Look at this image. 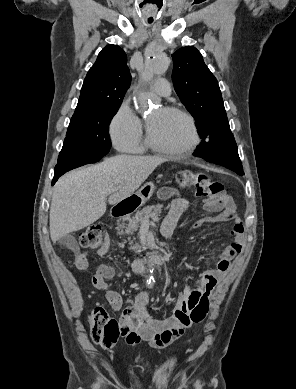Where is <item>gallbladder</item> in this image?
I'll return each mask as SVG.
<instances>
[{"label": "gallbladder", "instance_id": "gallbladder-1", "mask_svg": "<svg viewBox=\"0 0 296 389\" xmlns=\"http://www.w3.org/2000/svg\"><path fill=\"white\" fill-rule=\"evenodd\" d=\"M59 245L73 250L75 254H78L80 252L78 242L72 234H68L60 238Z\"/></svg>", "mask_w": 296, "mask_h": 389}]
</instances>
